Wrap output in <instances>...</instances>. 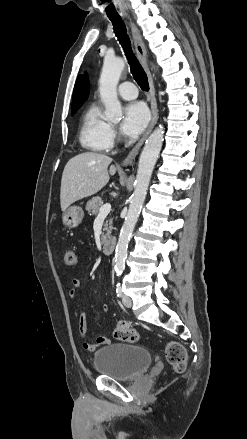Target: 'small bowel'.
I'll return each instance as SVG.
<instances>
[{
	"instance_id": "1",
	"label": "small bowel",
	"mask_w": 247,
	"mask_h": 439,
	"mask_svg": "<svg viewBox=\"0 0 247 439\" xmlns=\"http://www.w3.org/2000/svg\"><path fill=\"white\" fill-rule=\"evenodd\" d=\"M81 288V281L79 279H73L69 290L70 296L74 298L77 294L80 293ZM102 310L103 313H107L109 310L108 305H103ZM100 330L101 328L95 330L93 333L96 334ZM79 334L83 339H86L90 336V333L87 330L86 313L84 310H81L79 313ZM110 343L111 341L109 337L100 335L96 338L95 342L84 341L83 348L87 351H95L97 348L108 345Z\"/></svg>"
}]
</instances>
